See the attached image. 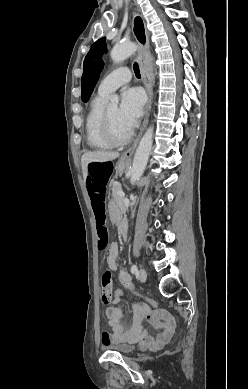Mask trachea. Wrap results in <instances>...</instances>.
<instances>
[{
  "label": "trachea",
  "instance_id": "3493384b",
  "mask_svg": "<svg viewBox=\"0 0 248 389\" xmlns=\"http://www.w3.org/2000/svg\"><path fill=\"white\" fill-rule=\"evenodd\" d=\"M133 69H134V73H135L136 77H137V78H140L141 75H140V70H139V66H138V63H137V62L134 63Z\"/></svg>",
  "mask_w": 248,
  "mask_h": 389
}]
</instances>
